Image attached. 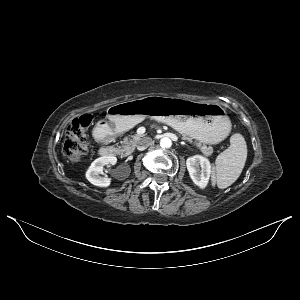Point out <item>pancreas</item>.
Wrapping results in <instances>:
<instances>
[{
	"label": "pancreas",
	"instance_id": "pancreas-1",
	"mask_svg": "<svg viewBox=\"0 0 300 300\" xmlns=\"http://www.w3.org/2000/svg\"><path fill=\"white\" fill-rule=\"evenodd\" d=\"M142 135H132L130 138L126 137L121 141V146L119 147V152L121 154L128 155L130 154L134 148L138 145ZM183 140L188 142H192V138L187 137L186 135L182 136ZM196 146L202 151V153L206 156H210L213 153V148L211 146L202 145L201 143H197Z\"/></svg>",
	"mask_w": 300,
	"mask_h": 300
}]
</instances>
